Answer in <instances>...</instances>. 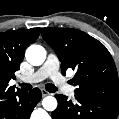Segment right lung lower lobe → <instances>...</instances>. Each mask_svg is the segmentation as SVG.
Segmentation results:
<instances>
[{"instance_id": "98d812e1", "label": "right lung lower lobe", "mask_w": 119, "mask_h": 119, "mask_svg": "<svg viewBox=\"0 0 119 119\" xmlns=\"http://www.w3.org/2000/svg\"><path fill=\"white\" fill-rule=\"evenodd\" d=\"M41 100L38 88L30 92L21 90L0 94V119H29L30 115Z\"/></svg>"}]
</instances>
